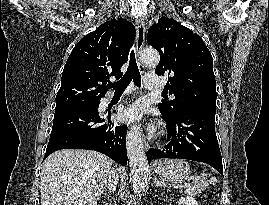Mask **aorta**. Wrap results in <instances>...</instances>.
<instances>
[{
	"instance_id": "1",
	"label": "aorta",
	"mask_w": 269,
	"mask_h": 205,
	"mask_svg": "<svg viewBox=\"0 0 269 205\" xmlns=\"http://www.w3.org/2000/svg\"><path fill=\"white\" fill-rule=\"evenodd\" d=\"M141 60L149 66H157L160 55L155 49L146 48L141 53ZM127 154L132 174V187L134 193L142 192L148 181V161L144 151L140 127L133 126L127 134Z\"/></svg>"
}]
</instances>
